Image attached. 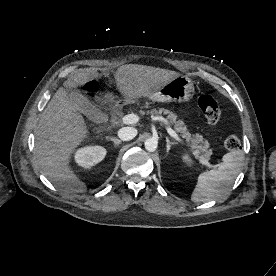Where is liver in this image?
Wrapping results in <instances>:
<instances>
[{
  "label": "liver",
  "mask_w": 276,
  "mask_h": 276,
  "mask_svg": "<svg viewBox=\"0 0 276 276\" xmlns=\"http://www.w3.org/2000/svg\"><path fill=\"white\" fill-rule=\"evenodd\" d=\"M180 74L174 71L127 64L115 73L117 89L127 100L147 97L155 88ZM95 70L72 76L45 107L35 133V157L40 170L61 190L82 193L86 185L69 166L72 154L89 135L85 119L68 98V90L97 78Z\"/></svg>",
  "instance_id": "6515ba94"
}]
</instances>
